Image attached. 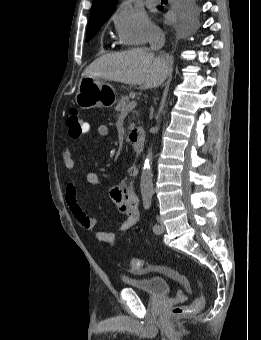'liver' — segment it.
Masks as SVG:
<instances>
[{
    "label": "liver",
    "instance_id": "1",
    "mask_svg": "<svg viewBox=\"0 0 261 340\" xmlns=\"http://www.w3.org/2000/svg\"><path fill=\"white\" fill-rule=\"evenodd\" d=\"M168 74V62L163 57L144 48L109 53L94 60L82 76L121 82L129 85H142L145 89L161 85Z\"/></svg>",
    "mask_w": 261,
    "mask_h": 340
}]
</instances>
